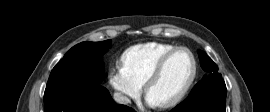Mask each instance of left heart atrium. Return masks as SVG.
<instances>
[{
  "label": "left heart atrium",
  "instance_id": "left-heart-atrium-1",
  "mask_svg": "<svg viewBox=\"0 0 270 112\" xmlns=\"http://www.w3.org/2000/svg\"><path fill=\"white\" fill-rule=\"evenodd\" d=\"M145 103L147 106L149 107H157L159 106V103L154 100L150 95L147 94L146 98H145Z\"/></svg>",
  "mask_w": 270,
  "mask_h": 112
}]
</instances>
